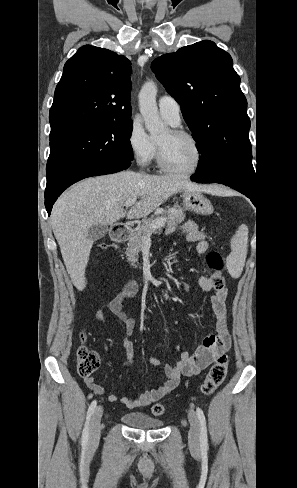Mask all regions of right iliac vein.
<instances>
[{
	"mask_svg": "<svg viewBox=\"0 0 297 488\" xmlns=\"http://www.w3.org/2000/svg\"><path fill=\"white\" fill-rule=\"evenodd\" d=\"M103 416V407L96 408L90 424L89 445L95 447L100 439L101 434V419Z\"/></svg>",
	"mask_w": 297,
	"mask_h": 488,
	"instance_id": "1",
	"label": "right iliac vein"
}]
</instances>
